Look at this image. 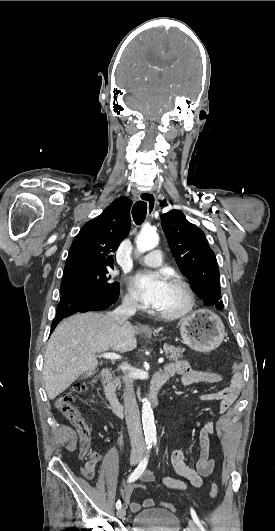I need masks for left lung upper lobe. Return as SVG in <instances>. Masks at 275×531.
Instances as JSON below:
<instances>
[{
    "mask_svg": "<svg viewBox=\"0 0 275 531\" xmlns=\"http://www.w3.org/2000/svg\"><path fill=\"white\" fill-rule=\"evenodd\" d=\"M166 206L164 200L161 203ZM162 228L181 272L206 305L223 309L218 263L204 232L179 210L161 215Z\"/></svg>",
    "mask_w": 275,
    "mask_h": 531,
    "instance_id": "1",
    "label": "left lung upper lobe"
}]
</instances>
